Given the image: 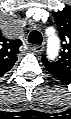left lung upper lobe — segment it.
Wrapping results in <instances>:
<instances>
[{"label": "left lung upper lobe", "mask_w": 71, "mask_h": 119, "mask_svg": "<svg viewBox=\"0 0 71 119\" xmlns=\"http://www.w3.org/2000/svg\"><path fill=\"white\" fill-rule=\"evenodd\" d=\"M52 14L61 37L62 50L57 60L49 61L43 56L42 62L45 67L71 72V7H65L62 11Z\"/></svg>", "instance_id": "5c2ea615"}]
</instances>
